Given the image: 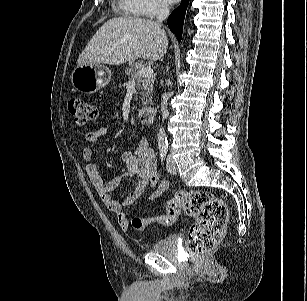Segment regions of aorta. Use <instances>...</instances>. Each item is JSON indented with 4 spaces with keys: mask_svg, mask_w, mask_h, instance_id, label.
I'll return each instance as SVG.
<instances>
[{
    "mask_svg": "<svg viewBox=\"0 0 307 301\" xmlns=\"http://www.w3.org/2000/svg\"><path fill=\"white\" fill-rule=\"evenodd\" d=\"M157 142L159 148H165L168 145V140L164 128L159 129L157 134Z\"/></svg>",
    "mask_w": 307,
    "mask_h": 301,
    "instance_id": "aorta-1",
    "label": "aorta"
}]
</instances>
